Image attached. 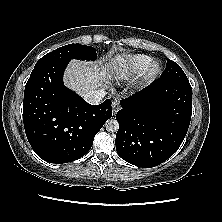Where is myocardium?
Masks as SVG:
<instances>
[{
    "label": "myocardium",
    "mask_w": 222,
    "mask_h": 222,
    "mask_svg": "<svg viewBox=\"0 0 222 222\" xmlns=\"http://www.w3.org/2000/svg\"><path fill=\"white\" fill-rule=\"evenodd\" d=\"M161 72V64L159 61H152L147 68V78L153 79Z\"/></svg>",
    "instance_id": "myocardium-1"
}]
</instances>
